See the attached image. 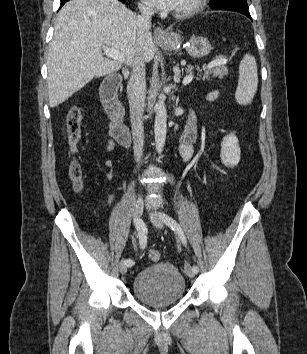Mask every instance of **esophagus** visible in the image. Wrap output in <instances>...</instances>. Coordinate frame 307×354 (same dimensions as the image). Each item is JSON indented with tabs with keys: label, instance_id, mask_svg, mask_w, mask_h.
Here are the masks:
<instances>
[{
	"label": "esophagus",
	"instance_id": "1",
	"mask_svg": "<svg viewBox=\"0 0 307 354\" xmlns=\"http://www.w3.org/2000/svg\"><path fill=\"white\" fill-rule=\"evenodd\" d=\"M154 37L156 40H164L167 38V33L162 27H156L154 30Z\"/></svg>",
	"mask_w": 307,
	"mask_h": 354
}]
</instances>
